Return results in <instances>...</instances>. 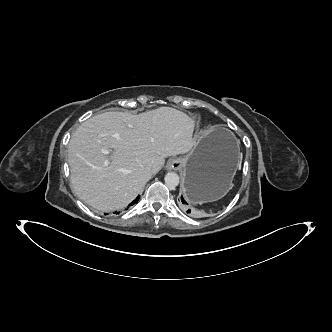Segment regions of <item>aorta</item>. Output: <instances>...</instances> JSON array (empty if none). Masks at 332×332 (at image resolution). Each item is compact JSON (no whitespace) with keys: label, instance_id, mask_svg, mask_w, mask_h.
<instances>
[{"label":"aorta","instance_id":"1","mask_svg":"<svg viewBox=\"0 0 332 332\" xmlns=\"http://www.w3.org/2000/svg\"><path fill=\"white\" fill-rule=\"evenodd\" d=\"M164 180L168 187H176L179 184V176L175 172L166 173Z\"/></svg>","mask_w":332,"mask_h":332}]
</instances>
